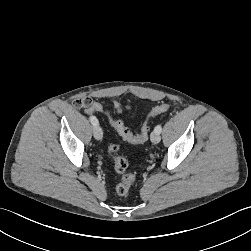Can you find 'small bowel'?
<instances>
[{"mask_svg":"<svg viewBox=\"0 0 251 251\" xmlns=\"http://www.w3.org/2000/svg\"><path fill=\"white\" fill-rule=\"evenodd\" d=\"M94 102L95 101H94L93 96H91V95H85L83 97H77V98H75V100H74V107L76 109H84V108H88L91 105H93ZM113 104H114V107L116 108V110L118 112L122 111V107L120 106V104L116 100L113 101Z\"/></svg>","mask_w":251,"mask_h":251,"instance_id":"1","label":"small bowel"}]
</instances>
